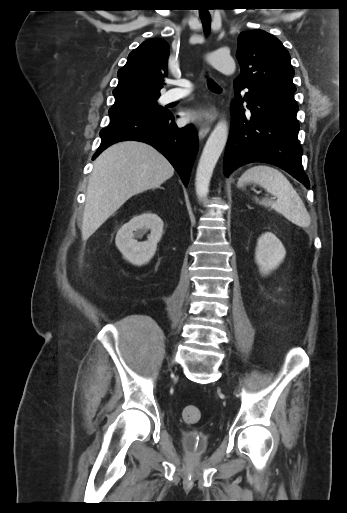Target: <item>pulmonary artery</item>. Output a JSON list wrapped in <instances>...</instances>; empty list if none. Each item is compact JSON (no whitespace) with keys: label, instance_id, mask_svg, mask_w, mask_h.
Returning <instances> with one entry per match:
<instances>
[{"label":"pulmonary artery","instance_id":"obj_1","mask_svg":"<svg viewBox=\"0 0 347 513\" xmlns=\"http://www.w3.org/2000/svg\"><path fill=\"white\" fill-rule=\"evenodd\" d=\"M178 87L169 90L164 96V102H173L186 97L190 93L191 83L186 79L177 82Z\"/></svg>","mask_w":347,"mask_h":513}]
</instances>
